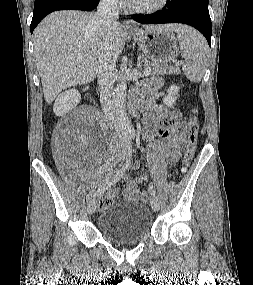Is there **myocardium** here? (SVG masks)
Returning <instances> with one entry per match:
<instances>
[{
	"label": "myocardium",
	"mask_w": 253,
	"mask_h": 285,
	"mask_svg": "<svg viewBox=\"0 0 253 285\" xmlns=\"http://www.w3.org/2000/svg\"><path fill=\"white\" fill-rule=\"evenodd\" d=\"M168 1L169 0H159L156 4L151 6H137L130 2L128 6L134 12L150 14L162 10L164 7H166Z\"/></svg>",
	"instance_id": "1"
}]
</instances>
